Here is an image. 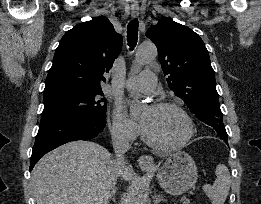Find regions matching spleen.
Returning <instances> with one entry per match:
<instances>
[{"label":"spleen","mask_w":261,"mask_h":204,"mask_svg":"<svg viewBox=\"0 0 261 204\" xmlns=\"http://www.w3.org/2000/svg\"><path fill=\"white\" fill-rule=\"evenodd\" d=\"M215 173L217 178L213 185L206 184L202 189L212 204H224L230 190V173L221 163L217 165Z\"/></svg>","instance_id":"3e777b00"}]
</instances>
